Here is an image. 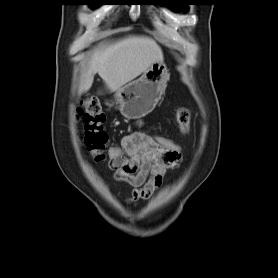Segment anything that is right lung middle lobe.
Instances as JSON below:
<instances>
[{
	"instance_id": "dd1d6c3e",
	"label": "right lung middle lobe",
	"mask_w": 278,
	"mask_h": 278,
	"mask_svg": "<svg viewBox=\"0 0 278 278\" xmlns=\"http://www.w3.org/2000/svg\"><path fill=\"white\" fill-rule=\"evenodd\" d=\"M92 1H93V3H91L90 6L98 7L100 5L99 1H101V0H92Z\"/></svg>"
}]
</instances>
